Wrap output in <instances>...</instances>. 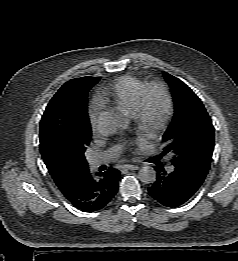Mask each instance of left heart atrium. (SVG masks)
Listing matches in <instances>:
<instances>
[{"label": "left heart atrium", "instance_id": "39dd6f15", "mask_svg": "<svg viewBox=\"0 0 238 261\" xmlns=\"http://www.w3.org/2000/svg\"><path fill=\"white\" fill-rule=\"evenodd\" d=\"M146 140H147V135H146V134H140V135L136 138L135 142H136L137 144H143V143L146 142Z\"/></svg>", "mask_w": 238, "mask_h": 261}]
</instances>
